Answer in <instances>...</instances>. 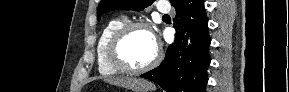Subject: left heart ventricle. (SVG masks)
Segmentation results:
<instances>
[{"instance_id": "1", "label": "left heart ventricle", "mask_w": 289, "mask_h": 92, "mask_svg": "<svg viewBox=\"0 0 289 92\" xmlns=\"http://www.w3.org/2000/svg\"><path fill=\"white\" fill-rule=\"evenodd\" d=\"M156 52V43L151 32L146 29L131 31L121 47L123 59L134 67L144 66L149 63Z\"/></svg>"}]
</instances>
